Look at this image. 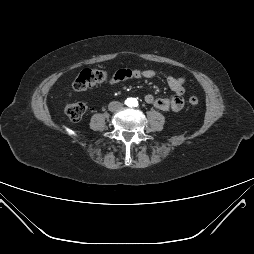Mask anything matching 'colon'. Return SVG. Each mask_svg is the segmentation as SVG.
<instances>
[{
	"instance_id": "colon-1",
	"label": "colon",
	"mask_w": 254,
	"mask_h": 254,
	"mask_svg": "<svg viewBox=\"0 0 254 254\" xmlns=\"http://www.w3.org/2000/svg\"><path fill=\"white\" fill-rule=\"evenodd\" d=\"M108 78V73L104 70L98 69H84L75 78L71 89L75 92L84 91L95 84L102 83ZM191 106H197L199 99L196 96H191L188 99ZM87 105L83 102L69 103L65 107V113L72 121H79L87 112Z\"/></svg>"
}]
</instances>
